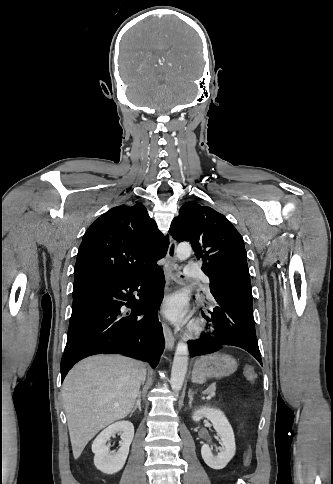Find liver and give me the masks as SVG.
I'll list each match as a JSON object with an SVG mask.
<instances>
[{
  "instance_id": "1",
  "label": "liver",
  "mask_w": 333,
  "mask_h": 484,
  "mask_svg": "<svg viewBox=\"0 0 333 484\" xmlns=\"http://www.w3.org/2000/svg\"><path fill=\"white\" fill-rule=\"evenodd\" d=\"M145 365L119 355L91 356L63 383V406L74 459L103 428L125 418L138 396Z\"/></svg>"
}]
</instances>
